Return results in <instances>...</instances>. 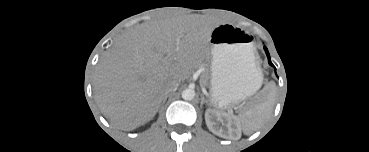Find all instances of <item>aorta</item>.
I'll return each instance as SVG.
<instances>
[{"label": "aorta", "mask_w": 369, "mask_h": 152, "mask_svg": "<svg viewBox=\"0 0 369 152\" xmlns=\"http://www.w3.org/2000/svg\"><path fill=\"white\" fill-rule=\"evenodd\" d=\"M195 97V90L191 88H187L182 92V98L184 100H192Z\"/></svg>", "instance_id": "obj_1"}]
</instances>
